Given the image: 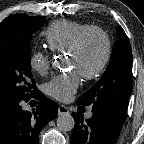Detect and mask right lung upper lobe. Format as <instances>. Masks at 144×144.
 <instances>
[{"instance_id": "cb5924a9", "label": "right lung upper lobe", "mask_w": 144, "mask_h": 144, "mask_svg": "<svg viewBox=\"0 0 144 144\" xmlns=\"http://www.w3.org/2000/svg\"><path fill=\"white\" fill-rule=\"evenodd\" d=\"M8 108L3 102L0 101V112Z\"/></svg>"}]
</instances>
